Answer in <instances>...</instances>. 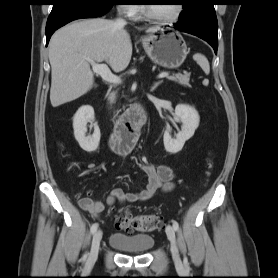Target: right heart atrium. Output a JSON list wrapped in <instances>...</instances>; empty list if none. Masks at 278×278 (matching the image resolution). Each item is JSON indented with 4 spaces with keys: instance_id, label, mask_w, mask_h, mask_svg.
<instances>
[{
    "instance_id": "right-heart-atrium-1",
    "label": "right heart atrium",
    "mask_w": 278,
    "mask_h": 278,
    "mask_svg": "<svg viewBox=\"0 0 278 278\" xmlns=\"http://www.w3.org/2000/svg\"><path fill=\"white\" fill-rule=\"evenodd\" d=\"M119 7L121 11L129 17L135 16L140 10V7L136 4H122Z\"/></svg>"
}]
</instances>
